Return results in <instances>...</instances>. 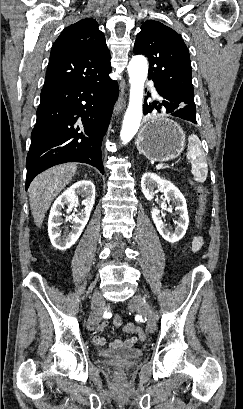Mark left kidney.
<instances>
[{"label": "left kidney", "mask_w": 243, "mask_h": 409, "mask_svg": "<svg viewBox=\"0 0 243 409\" xmlns=\"http://www.w3.org/2000/svg\"><path fill=\"white\" fill-rule=\"evenodd\" d=\"M141 188L145 198L151 201L157 190L164 192L165 199L176 205V211L179 218L176 222L175 231H170L160 216V210L152 209V219L160 235L168 242L175 243L179 241L186 233L189 225L187 204L183 194L170 181L162 179L155 173H145L141 179Z\"/></svg>", "instance_id": "left-kidney-1"}]
</instances>
